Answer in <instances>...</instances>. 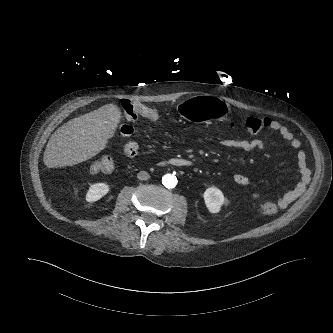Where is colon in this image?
<instances>
[{
  "label": "colon",
  "instance_id": "obj_1",
  "mask_svg": "<svg viewBox=\"0 0 333 333\" xmlns=\"http://www.w3.org/2000/svg\"><path fill=\"white\" fill-rule=\"evenodd\" d=\"M124 120L120 127V131L124 136H130L134 132V123L139 116H143L152 121H157L160 118L158 110L145 106L141 103L124 101L122 103ZM271 120L261 117H249L241 125L251 134H257L270 126ZM236 126V122L231 123ZM114 168V160L109 156L96 157L90 165V170L93 173H109ZM260 212L264 215H273L278 211V206L272 201H266L261 204Z\"/></svg>",
  "mask_w": 333,
  "mask_h": 333
}]
</instances>
